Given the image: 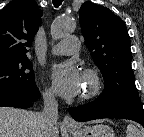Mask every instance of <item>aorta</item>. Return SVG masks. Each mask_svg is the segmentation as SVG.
Returning a JSON list of instances; mask_svg holds the SVG:
<instances>
[{"instance_id":"obj_1","label":"aorta","mask_w":144,"mask_h":137,"mask_svg":"<svg viewBox=\"0 0 144 137\" xmlns=\"http://www.w3.org/2000/svg\"><path fill=\"white\" fill-rule=\"evenodd\" d=\"M75 28L74 21L70 18H57L51 25V37L54 40L60 39L72 32Z\"/></svg>"}]
</instances>
